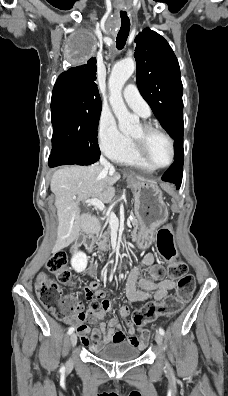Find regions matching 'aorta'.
I'll use <instances>...</instances> for the list:
<instances>
[{
  "label": "aorta",
  "mask_w": 228,
  "mask_h": 396,
  "mask_svg": "<svg viewBox=\"0 0 228 396\" xmlns=\"http://www.w3.org/2000/svg\"><path fill=\"white\" fill-rule=\"evenodd\" d=\"M134 71L135 61L124 59L113 66L108 80L109 102L123 133L131 132L139 123V118L128 111L122 98L124 84Z\"/></svg>",
  "instance_id": "aorta-1"
}]
</instances>
